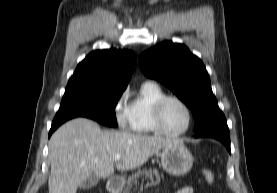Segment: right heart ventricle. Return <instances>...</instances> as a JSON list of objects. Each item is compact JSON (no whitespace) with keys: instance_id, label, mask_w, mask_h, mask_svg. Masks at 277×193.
<instances>
[{"instance_id":"e07e8e85","label":"right heart ventricle","mask_w":277,"mask_h":193,"mask_svg":"<svg viewBox=\"0 0 277 193\" xmlns=\"http://www.w3.org/2000/svg\"><path fill=\"white\" fill-rule=\"evenodd\" d=\"M166 95L163 89L153 82H145L138 95L129 103V125L133 132L140 134L157 133L153 122V107L156 101Z\"/></svg>"}]
</instances>
